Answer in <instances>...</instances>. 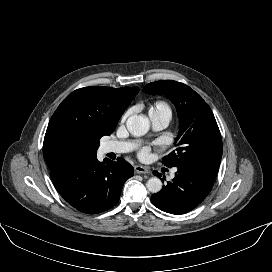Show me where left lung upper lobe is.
<instances>
[{
	"instance_id": "left-lung-upper-lobe-1",
	"label": "left lung upper lobe",
	"mask_w": 272,
	"mask_h": 272,
	"mask_svg": "<svg viewBox=\"0 0 272 272\" xmlns=\"http://www.w3.org/2000/svg\"><path fill=\"white\" fill-rule=\"evenodd\" d=\"M143 91L165 95L176 106L180 118L176 150L165 156L162 163L169 168L186 167L216 178L222 157V140L208 104L189 86L172 80L149 83Z\"/></svg>"
}]
</instances>
